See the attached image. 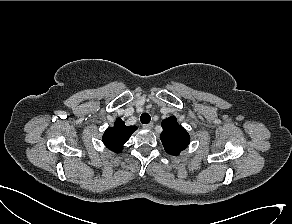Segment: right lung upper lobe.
<instances>
[{"label":"right lung upper lobe","mask_w":292,"mask_h":224,"mask_svg":"<svg viewBox=\"0 0 292 224\" xmlns=\"http://www.w3.org/2000/svg\"><path fill=\"white\" fill-rule=\"evenodd\" d=\"M135 130H137L136 126H126L120 118H117L114 126L104 132L103 143L111 151L119 153Z\"/></svg>","instance_id":"right-lung-upper-lobe-1"}]
</instances>
